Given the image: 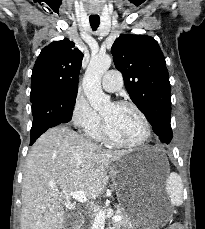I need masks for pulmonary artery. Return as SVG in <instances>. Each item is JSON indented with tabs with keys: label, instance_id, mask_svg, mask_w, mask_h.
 <instances>
[{
	"label": "pulmonary artery",
	"instance_id": "1",
	"mask_svg": "<svg viewBox=\"0 0 205 229\" xmlns=\"http://www.w3.org/2000/svg\"><path fill=\"white\" fill-rule=\"evenodd\" d=\"M122 86V75L118 70H109L102 78V87L108 92L118 91Z\"/></svg>",
	"mask_w": 205,
	"mask_h": 229
}]
</instances>
